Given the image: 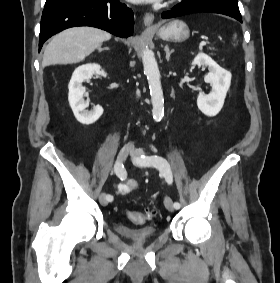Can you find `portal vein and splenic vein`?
<instances>
[{"instance_id": "obj_1", "label": "portal vein and splenic vein", "mask_w": 280, "mask_h": 283, "mask_svg": "<svg viewBox=\"0 0 280 283\" xmlns=\"http://www.w3.org/2000/svg\"><path fill=\"white\" fill-rule=\"evenodd\" d=\"M206 44H207V42L202 41V42L200 43V46H205Z\"/></svg>"}]
</instances>
